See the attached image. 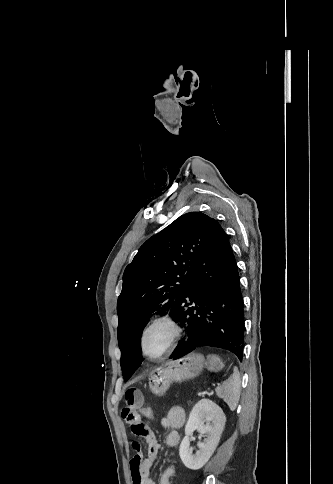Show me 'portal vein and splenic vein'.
Segmentation results:
<instances>
[{
  "mask_svg": "<svg viewBox=\"0 0 333 484\" xmlns=\"http://www.w3.org/2000/svg\"><path fill=\"white\" fill-rule=\"evenodd\" d=\"M202 395H203V391H200V392L198 393V396H202Z\"/></svg>",
  "mask_w": 333,
  "mask_h": 484,
  "instance_id": "1",
  "label": "portal vein and splenic vein"
}]
</instances>
